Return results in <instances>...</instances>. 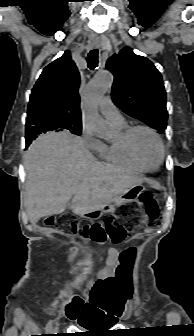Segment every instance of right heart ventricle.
<instances>
[{"label": "right heart ventricle", "mask_w": 194, "mask_h": 336, "mask_svg": "<svg viewBox=\"0 0 194 336\" xmlns=\"http://www.w3.org/2000/svg\"><path fill=\"white\" fill-rule=\"evenodd\" d=\"M120 131V137L117 140L101 143L97 153L99 157L110 164L124 168L134 173H146L152 171L139 163L130 155L122 140V133L127 128L126 123L115 124Z\"/></svg>", "instance_id": "right-heart-ventricle-1"}]
</instances>
